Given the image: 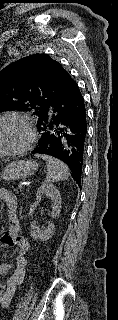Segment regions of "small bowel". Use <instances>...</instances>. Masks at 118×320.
I'll return each mask as SVG.
<instances>
[{"mask_svg": "<svg viewBox=\"0 0 118 320\" xmlns=\"http://www.w3.org/2000/svg\"><path fill=\"white\" fill-rule=\"evenodd\" d=\"M0 197L8 202L10 195L7 193L0 194ZM17 226V223L14 219H11L10 221V228ZM18 228V226H17ZM17 246V245H15ZM24 247V246H19ZM11 268L8 264L0 265V275L7 272ZM24 268H25V260L24 258H18L14 265H13V271L10 275V277L7 279L3 289H0V306L2 308H7L12 300L14 291L16 287L21 283L24 277ZM2 288V287H1Z\"/></svg>", "mask_w": 118, "mask_h": 320, "instance_id": "small-bowel-1", "label": "small bowel"}]
</instances>
